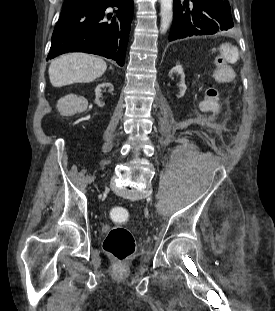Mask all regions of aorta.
<instances>
[{
    "instance_id": "1",
    "label": "aorta",
    "mask_w": 275,
    "mask_h": 311,
    "mask_svg": "<svg viewBox=\"0 0 275 311\" xmlns=\"http://www.w3.org/2000/svg\"><path fill=\"white\" fill-rule=\"evenodd\" d=\"M161 4V25L160 30L165 33L173 18V0H160Z\"/></svg>"
}]
</instances>
